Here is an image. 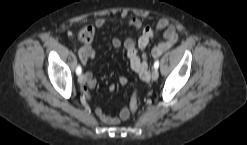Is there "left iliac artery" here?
<instances>
[{"instance_id": "44dca946", "label": "left iliac artery", "mask_w": 247, "mask_h": 145, "mask_svg": "<svg viewBox=\"0 0 247 145\" xmlns=\"http://www.w3.org/2000/svg\"><path fill=\"white\" fill-rule=\"evenodd\" d=\"M158 67H159V60H156L155 63H154V68L158 69Z\"/></svg>"}]
</instances>
